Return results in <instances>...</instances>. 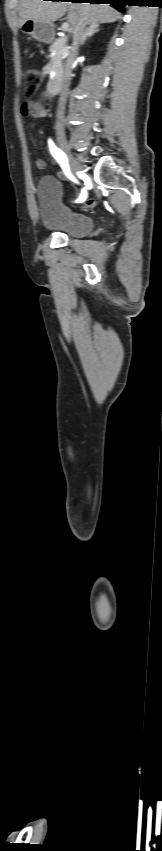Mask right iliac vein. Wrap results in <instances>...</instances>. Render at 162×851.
Here are the masks:
<instances>
[{
  "mask_svg": "<svg viewBox=\"0 0 162 851\" xmlns=\"http://www.w3.org/2000/svg\"><path fill=\"white\" fill-rule=\"evenodd\" d=\"M60 144H61L62 148L65 150V152L67 153V155H68V157H69V165H70V169H71V171H72V175H73L75 178H78V173H77V172H78V170H79V165H78V163H77V161H76L75 157H74V156H73V155L69 152V149H68L67 143H66L64 140H61V141H60Z\"/></svg>",
  "mask_w": 162,
  "mask_h": 851,
  "instance_id": "right-iliac-vein-1",
  "label": "right iliac vein"
}]
</instances>
